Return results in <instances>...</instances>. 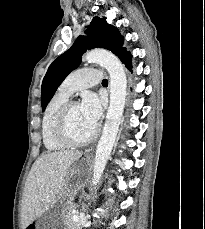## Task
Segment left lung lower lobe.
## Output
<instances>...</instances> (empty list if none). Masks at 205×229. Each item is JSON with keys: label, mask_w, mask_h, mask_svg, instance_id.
I'll use <instances>...</instances> for the list:
<instances>
[{"label": "left lung lower lobe", "mask_w": 205, "mask_h": 229, "mask_svg": "<svg viewBox=\"0 0 205 229\" xmlns=\"http://www.w3.org/2000/svg\"><path fill=\"white\" fill-rule=\"evenodd\" d=\"M119 59L125 64L126 68L129 69V71L132 72V65H131V54L130 52L123 49L118 55Z\"/></svg>", "instance_id": "obj_1"}]
</instances>
